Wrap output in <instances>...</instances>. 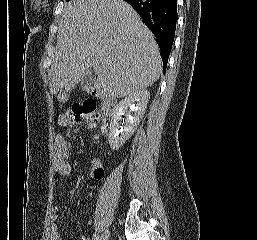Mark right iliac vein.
<instances>
[{
	"mask_svg": "<svg viewBox=\"0 0 257 240\" xmlns=\"http://www.w3.org/2000/svg\"><path fill=\"white\" fill-rule=\"evenodd\" d=\"M110 237V231L109 230H105L102 235L100 236L99 240H109Z\"/></svg>",
	"mask_w": 257,
	"mask_h": 240,
	"instance_id": "63e3f726",
	"label": "right iliac vein"
}]
</instances>
